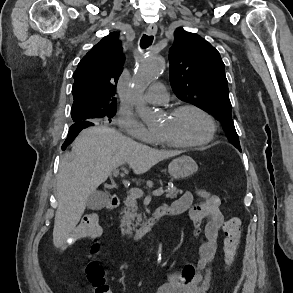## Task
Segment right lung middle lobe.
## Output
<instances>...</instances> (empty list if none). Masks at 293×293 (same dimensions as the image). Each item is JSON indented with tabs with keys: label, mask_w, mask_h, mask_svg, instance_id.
<instances>
[{
	"label": "right lung middle lobe",
	"mask_w": 293,
	"mask_h": 293,
	"mask_svg": "<svg viewBox=\"0 0 293 293\" xmlns=\"http://www.w3.org/2000/svg\"><path fill=\"white\" fill-rule=\"evenodd\" d=\"M115 107L104 109H91L77 108V110H71L73 122L77 121H96L105 120L111 122V118L115 116Z\"/></svg>",
	"instance_id": "obj_1"
}]
</instances>
